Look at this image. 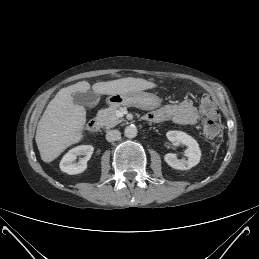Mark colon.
Listing matches in <instances>:
<instances>
[{"mask_svg":"<svg viewBox=\"0 0 259 259\" xmlns=\"http://www.w3.org/2000/svg\"><path fill=\"white\" fill-rule=\"evenodd\" d=\"M202 106L207 113V118L202 125L203 135L208 139L215 138L220 132V124L217 121V109L210 96L205 95L202 98Z\"/></svg>","mask_w":259,"mask_h":259,"instance_id":"5ec220e1","label":"colon"}]
</instances>
